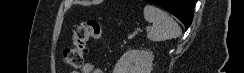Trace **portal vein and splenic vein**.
<instances>
[{"label": "portal vein and splenic vein", "mask_w": 244, "mask_h": 73, "mask_svg": "<svg viewBox=\"0 0 244 73\" xmlns=\"http://www.w3.org/2000/svg\"><path fill=\"white\" fill-rule=\"evenodd\" d=\"M150 30V27H147L146 31H149Z\"/></svg>", "instance_id": "obj_1"}]
</instances>
